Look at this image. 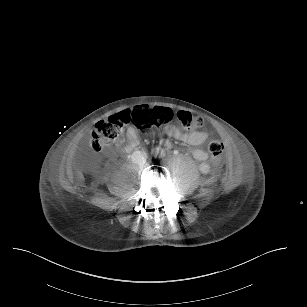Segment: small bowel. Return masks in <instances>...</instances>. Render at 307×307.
Wrapping results in <instances>:
<instances>
[{
  "instance_id": "c3829d8e",
  "label": "small bowel",
  "mask_w": 307,
  "mask_h": 307,
  "mask_svg": "<svg viewBox=\"0 0 307 307\" xmlns=\"http://www.w3.org/2000/svg\"><path fill=\"white\" fill-rule=\"evenodd\" d=\"M165 133L178 141H181L192 148L191 153L193 157L200 161L199 169L202 172H207L209 169V165L206 163L208 159V154L201 149L195 148L198 145L203 144L208 139V133L200 130H191L190 132H183L179 128L169 125L165 128ZM127 150H130L138 145L139 138L136 129L131 128L127 131ZM165 145L167 147L170 146L169 142H166Z\"/></svg>"
}]
</instances>
